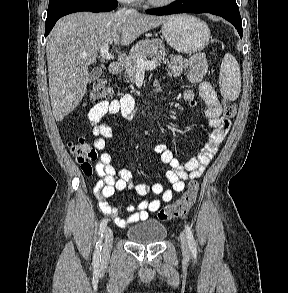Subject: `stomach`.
Segmentation results:
<instances>
[{
    "instance_id": "0dacf381",
    "label": "stomach",
    "mask_w": 288,
    "mask_h": 293,
    "mask_svg": "<svg viewBox=\"0 0 288 293\" xmlns=\"http://www.w3.org/2000/svg\"><path fill=\"white\" fill-rule=\"evenodd\" d=\"M165 41L181 53H195L203 50L210 41V29L201 19L187 14L169 17L162 24Z\"/></svg>"
}]
</instances>
